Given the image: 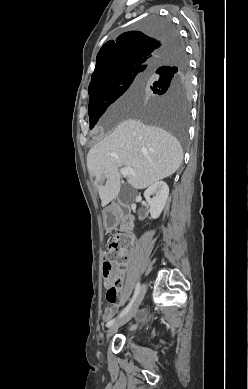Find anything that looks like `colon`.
<instances>
[{
  "mask_svg": "<svg viewBox=\"0 0 248 389\" xmlns=\"http://www.w3.org/2000/svg\"><path fill=\"white\" fill-rule=\"evenodd\" d=\"M130 250V242L126 237H116L113 239L107 249V257L103 263L104 284L107 286L106 299L108 303L114 304L117 302L119 290L121 286L122 272L117 267L120 260L126 259ZM126 333H131L133 328L126 326Z\"/></svg>",
  "mask_w": 248,
  "mask_h": 389,
  "instance_id": "5ec220e1",
  "label": "colon"
}]
</instances>
